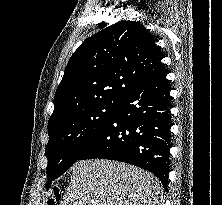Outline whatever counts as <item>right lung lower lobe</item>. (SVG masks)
Returning <instances> with one entry per match:
<instances>
[{
    "label": "right lung lower lobe",
    "instance_id": "obj_1",
    "mask_svg": "<svg viewBox=\"0 0 222 205\" xmlns=\"http://www.w3.org/2000/svg\"><path fill=\"white\" fill-rule=\"evenodd\" d=\"M166 75L163 70L133 88L79 160L99 158L133 164L157 176L166 190L171 147V98Z\"/></svg>",
    "mask_w": 222,
    "mask_h": 205
}]
</instances>
